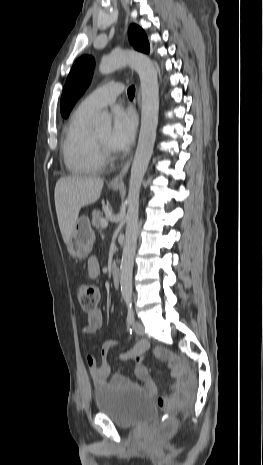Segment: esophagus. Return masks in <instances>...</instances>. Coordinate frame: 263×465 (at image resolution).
<instances>
[{
  "instance_id": "1",
  "label": "esophagus",
  "mask_w": 263,
  "mask_h": 465,
  "mask_svg": "<svg viewBox=\"0 0 263 465\" xmlns=\"http://www.w3.org/2000/svg\"><path fill=\"white\" fill-rule=\"evenodd\" d=\"M140 91L137 90V101H138V106L140 108L141 106V102H140ZM131 162H132V156L126 161V163L124 164V166L122 167L121 171L119 172V174L117 176H115L112 180H111V184L112 185H118L120 183H122L123 181V178L124 176L126 175L130 165H131Z\"/></svg>"
}]
</instances>
